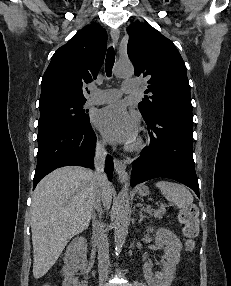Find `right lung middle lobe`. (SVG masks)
Wrapping results in <instances>:
<instances>
[{
    "label": "right lung middle lobe",
    "mask_w": 231,
    "mask_h": 286,
    "mask_svg": "<svg viewBox=\"0 0 231 286\" xmlns=\"http://www.w3.org/2000/svg\"><path fill=\"white\" fill-rule=\"evenodd\" d=\"M84 104L85 101H59L40 106L39 132L60 124L89 122Z\"/></svg>",
    "instance_id": "1"
}]
</instances>
